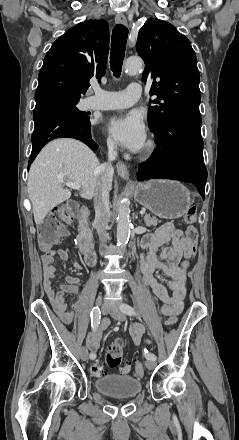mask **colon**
I'll use <instances>...</instances> for the list:
<instances>
[{
  "mask_svg": "<svg viewBox=\"0 0 239 440\" xmlns=\"http://www.w3.org/2000/svg\"><path fill=\"white\" fill-rule=\"evenodd\" d=\"M78 205L73 202H67L57 208H55L51 214H49L39 229V242L41 248H48L52 246L63 235V228L60 220L69 221L77 214ZM183 221L186 227L187 238L195 244L198 238L197 229L194 227L196 221V208L190 207L184 215ZM177 321L176 316L172 315L167 320L168 326H173ZM124 342L121 338L113 341L108 347L106 354V363L111 369L120 371L121 373H128L131 371L129 365L121 366V360L123 356ZM144 365L141 361L137 362L135 366V374L137 377H142L144 374ZM90 373L94 376H102L104 370L101 364L98 362H92L90 364Z\"/></svg>",
  "mask_w": 239,
  "mask_h": 440,
  "instance_id": "5ec220e1",
  "label": "colon"
}]
</instances>
